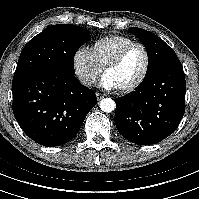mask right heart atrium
Here are the masks:
<instances>
[{
  "mask_svg": "<svg viewBox=\"0 0 199 199\" xmlns=\"http://www.w3.org/2000/svg\"><path fill=\"white\" fill-rule=\"evenodd\" d=\"M72 65L80 82L88 87L96 83L102 72L95 64L90 52L85 48H79L75 51Z\"/></svg>",
  "mask_w": 199,
  "mask_h": 199,
  "instance_id": "d8ad5b80",
  "label": "right heart atrium"
}]
</instances>
